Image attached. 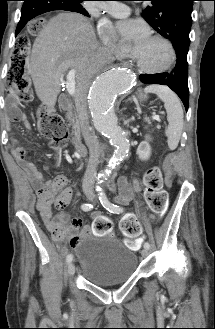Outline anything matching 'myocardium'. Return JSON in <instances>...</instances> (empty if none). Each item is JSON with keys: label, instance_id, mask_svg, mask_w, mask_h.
<instances>
[{"label": "myocardium", "instance_id": "1", "mask_svg": "<svg viewBox=\"0 0 215 329\" xmlns=\"http://www.w3.org/2000/svg\"><path fill=\"white\" fill-rule=\"evenodd\" d=\"M151 38L162 41L168 47L169 52H170V58H169V61L166 63V65H164L161 68H157V69L146 68L138 61L134 52L132 53V61L135 64V66L138 68V70L141 71L142 73L152 74V75L165 73L168 70H170L176 62L177 54H176L175 46L170 39H168L167 37H165L163 35H153Z\"/></svg>", "mask_w": 215, "mask_h": 329}]
</instances>
